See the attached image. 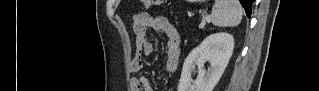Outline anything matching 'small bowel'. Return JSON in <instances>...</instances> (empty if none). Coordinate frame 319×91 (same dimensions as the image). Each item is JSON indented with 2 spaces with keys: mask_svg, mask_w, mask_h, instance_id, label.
<instances>
[{
  "mask_svg": "<svg viewBox=\"0 0 319 91\" xmlns=\"http://www.w3.org/2000/svg\"><path fill=\"white\" fill-rule=\"evenodd\" d=\"M149 29L163 33L166 38L164 69L166 74H173L178 67L180 58V34L164 16H154L149 13H139L134 16L133 30L136 37V51L130 62V71L136 73L143 65L144 56L153 53V44L149 40ZM133 91H153L148 79L144 76H136L131 79Z\"/></svg>",
  "mask_w": 319,
  "mask_h": 91,
  "instance_id": "1",
  "label": "small bowel"
}]
</instances>
